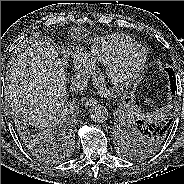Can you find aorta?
<instances>
[{"instance_id":"aorta-1","label":"aorta","mask_w":184,"mask_h":184,"mask_svg":"<svg viewBox=\"0 0 184 184\" xmlns=\"http://www.w3.org/2000/svg\"><path fill=\"white\" fill-rule=\"evenodd\" d=\"M90 118L96 123H103L108 118L107 109L100 104H96L90 108Z\"/></svg>"}]
</instances>
